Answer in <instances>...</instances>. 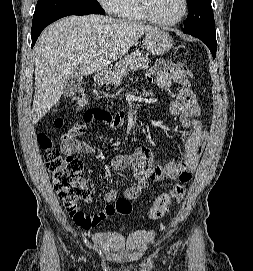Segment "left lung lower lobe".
Instances as JSON below:
<instances>
[{"label":"left lung lower lobe","mask_w":253,"mask_h":271,"mask_svg":"<svg viewBox=\"0 0 253 271\" xmlns=\"http://www.w3.org/2000/svg\"><path fill=\"white\" fill-rule=\"evenodd\" d=\"M186 34H190L202 40L210 49L213 58H215L216 49H217L216 33L193 32V33H186Z\"/></svg>","instance_id":"0a47b994"}]
</instances>
